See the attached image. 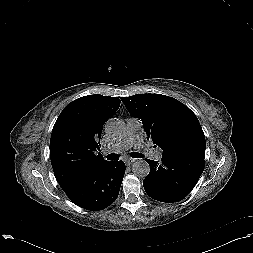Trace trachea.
Returning a JSON list of instances; mask_svg holds the SVG:
<instances>
[{
    "label": "trachea",
    "instance_id": "3493384b",
    "mask_svg": "<svg viewBox=\"0 0 253 253\" xmlns=\"http://www.w3.org/2000/svg\"><path fill=\"white\" fill-rule=\"evenodd\" d=\"M130 155L133 158H142L143 157V154L138 153V152H132ZM106 157L108 160H112V161L119 159V156L117 154H108Z\"/></svg>",
    "mask_w": 253,
    "mask_h": 253
}]
</instances>
